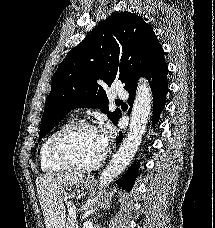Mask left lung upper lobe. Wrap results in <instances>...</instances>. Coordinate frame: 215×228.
Returning a JSON list of instances; mask_svg holds the SVG:
<instances>
[{
  "label": "left lung upper lobe",
  "mask_w": 215,
  "mask_h": 228,
  "mask_svg": "<svg viewBox=\"0 0 215 228\" xmlns=\"http://www.w3.org/2000/svg\"><path fill=\"white\" fill-rule=\"evenodd\" d=\"M161 49L152 28L141 17L127 11L112 14L68 52L54 73L39 138L74 108H100L117 124L121 112L108 111L102 82L110 86L117 78L130 90Z\"/></svg>",
  "instance_id": "obj_1"
}]
</instances>
